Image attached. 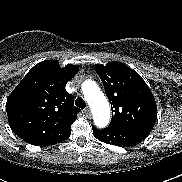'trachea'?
Segmentation results:
<instances>
[{
    "label": "trachea",
    "instance_id": "3493384b",
    "mask_svg": "<svg viewBox=\"0 0 182 182\" xmlns=\"http://www.w3.org/2000/svg\"><path fill=\"white\" fill-rule=\"evenodd\" d=\"M75 105L81 109H84L86 107V103L84 101L83 98L81 97H78L76 100H75Z\"/></svg>",
    "mask_w": 182,
    "mask_h": 182
}]
</instances>
